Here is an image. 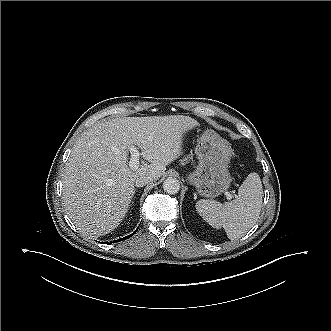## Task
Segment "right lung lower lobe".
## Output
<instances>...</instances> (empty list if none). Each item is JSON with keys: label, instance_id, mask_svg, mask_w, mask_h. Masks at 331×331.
<instances>
[{"label": "right lung lower lobe", "instance_id": "1", "mask_svg": "<svg viewBox=\"0 0 331 331\" xmlns=\"http://www.w3.org/2000/svg\"><path fill=\"white\" fill-rule=\"evenodd\" d=\"M137 231V230H136ZM136 231L132 234V235H134L135 233H136ZM132 235H130V236H127V237H125L124 239H119V241H121V240H125V239H127V238H130ZM118 241V240H117ZM114 243V242H113Z\"/></svg>", "mask_w": 331, "mask_h": 331}]
</instances>
